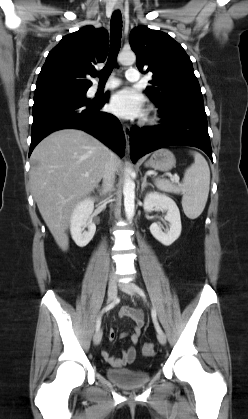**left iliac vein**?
I'll return each instance as SVG.
<instances>
[{
  "label": "left iliac vein",
  "instance_id": "4c4485c4",
  "mask_svg": "<svg viewBox=\"0 0 248 419\" xmlns=\"http://www.w3.org/2000/svg\"><path fill=\"white\" fill-rule=\"evenodd\" d=\"M120 289L129 294V295H136L137 296V287L134 284L131 283H121ZM157 339L160 342V344L164 345L166 343V335L163 332H160L157 334Z\"/></svg>",
  "mask_w": 248,
  "mask_h": 419
}]
</instances>
